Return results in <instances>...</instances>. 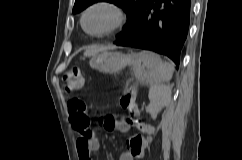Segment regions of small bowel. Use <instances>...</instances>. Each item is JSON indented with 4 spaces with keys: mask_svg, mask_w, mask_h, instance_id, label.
I'll return each mask as SVG.
<instances>
[{
    "mask_svg": "<svg viewBox=\"0 0 242 160\" xmlns=\"http://www.w3.org/2000/svg\"><path fill=\"white\" fill-rule=\"evenodd\" d=\"M69 117L73 128L80 133V137L77 140V151L80 160H92L91 154L94 151L100 149V143L95 138L88 128L76 127L72 119V114L68 109ZM101 125L106 131H118L120 133H127L132 126L144 131L149 132L150 128L140 121L128 122L121 121L114 116H105L101 120ZM90 132L89 136H86L87 132ZM146 139L140 133H132L127 138V150L123 152L119 160H139L144 157L146 149Z\"/></svg>",
    "mask_w": 242,
    "mask_h": 160,
    "instance_id": "1",
    "label": "small bowel"
}]
</instances>
